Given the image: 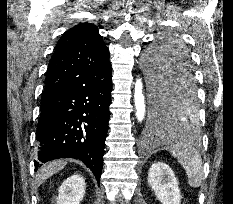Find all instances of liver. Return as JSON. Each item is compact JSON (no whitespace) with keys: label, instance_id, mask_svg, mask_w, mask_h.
Segmentation results:
<instances>
[{"label":"liver","instance_id":"1","mask_svg":"<svg viewBox=\"0 0 233 204\" xmlns=\"http://www.w3.org/2000/svg\"><path fill=\"white\" fill-rule=\"evenodd\" d=\"M66 165L64 160H55L48 164H45L40 169V172L37 175V186H40L46 179L51 177L54 173L59 172Z\"/></svg>","mask_w":233,"mask_h":204}]
</instances>
